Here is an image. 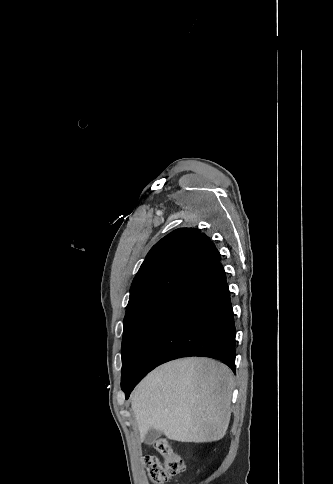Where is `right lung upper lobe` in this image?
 Returning <instances> with one entry per match:
<instances>
[{
    "label": "right lung upper lobe",
    "mask_w": 333,
    "mask_h": 484,
    "mask_svg": "<svg viewBox=\"0 0 333 484\" xmlns=\"http://www.w3.org/2000/svg\"><path fill=\"white\" fill-rule=\"evenodd\" d=\"M220 259L215 245L200 230H174L147 254L131 285L126 312L160 294L181 288Z\"/></svg>",
    "instance_id": "1"
}]
</instances>
